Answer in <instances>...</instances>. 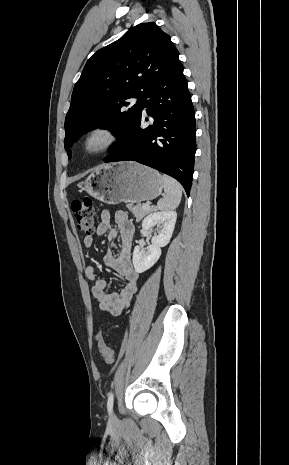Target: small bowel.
Returning a JSON list of instances; mask_svg holds the SVG:
<instances>
[{
	"mask_svg": "<svg viewBox=\"0 0 289 465\" xmlns=\"http://www.w3.org/2000/svg\"><path fill=\"white\" fill-rule=\"evenodd\" d=\"M114 221L117 225V230L111 228V215L107 210H103L100 214V222L96 228L97 235L108 233L110 240L114 239L119 232L121 238L120 249L117 254L108 251L103 261L106 266L113 269L123 279V285L119 292L110 293L107 291V283L105 279L96 274L92 266L85 268L86 277L92 282L91 292L94 299L99 304V309L114 316L120 315L127 308L130 300L137 290L139 274L135 270L131 254L134 238V226L129 221L127 214L123 211H118L114 215ZM94 244V237L86 235L83 239L85 248H91Z\"/></svg>",
	"mask_w": 289,
	"mask_h": 465,
	"instance_id": "small-bowel-1",
	"label": "small bowel"
}]
</instances>
